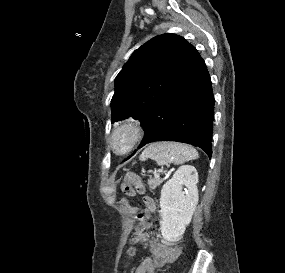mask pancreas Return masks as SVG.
Listing matches in <instances>:
<instances>
[{
  "label": "pancreas",
  "instance_id": "pancreas-1",
  "mask_svg": "<svg viewBox=\"0 0 285 273\" xmlns=\"http://www.w3.org/2000/svg\"><path fill=\"white\" fill-rule=\"evenodd\" d=\"M162 182L163 180L160 178L150 179L148 180V185L152 190H154L157 186H160Z\"/></svg>",
  "mask_w": 285,
  "mask_h": 273
}]
</instances>
